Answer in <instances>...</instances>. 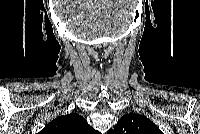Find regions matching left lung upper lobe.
<instances>
[{
  "label": "left lung upper lobe",
  "instance_id": "1",
  "mask_svg": "<svg viewBox=\"0 0 200 134\" xmlns=\"http://www.w3.org/2000/svg\"><path fill=\"white\" fill-rule=\"evenodd\" d=\"M108 134H162V132L147 117L130 113L124 115Z\"/></svg>",
  "mask_w": 200,
  "mask_h": 134
}]
</instances>
